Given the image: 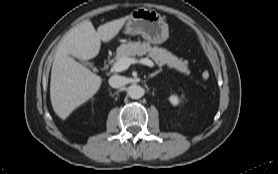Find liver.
<instances>
[{
  "label": "liver",
  "mask_w": 278,
  "mask_h": 174,
  "mask_svg": "<svg viewBox=\"0 0 278 174\" xmlns=\"http://www.w3.org/2000/svg\"><path fill=\"white\" fill-rule=\"evenodd\" d=\"M129 19L125 16L107 22L95 30L89 20L72 28L56 51L50 81V99L54 112L65 120L76 108L88 101L99 90L102 78L75 61L96 57L101 42H109L118 35Z\"/></svg>",
  "instance_id": "1"
}]
</instances>
